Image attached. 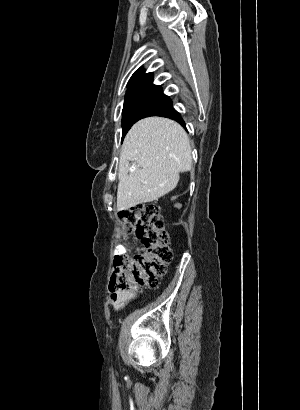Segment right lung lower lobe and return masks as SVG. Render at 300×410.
I'll return each mask as SVG.
<instances>
[{
    "instance_id": "1",
    "label": "right lung lower lobe",
    "mask_w": 300,
    "mask_h": 410,
    "mask_svg": "<svg viewBox=\"0 0 300 410\" xmlns=\"http://www.w3.org/2000/svg\"><path fill=\"white\" fill-rule=\"evenodd\" d=\"M155 115L171 118L179 122L183 127H185V123L183 119L181 118L180 114L172 107V105L151 116H155Z\"/></svg>"
}]
</instances>
